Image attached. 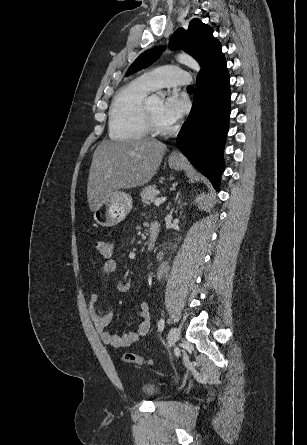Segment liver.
I'll use <instances>...</instances> for the list:
<instances>
[{
	"mask_svg": "<svg viewBox=\"0 0 307 445\" xmlns=\"http://www.w3.org/2000/svg\"><path fill=\"white\" fill-rule=\"evenodd\" d=\"M165 150L166 144L156 138L126 142H112L104 138L94 150L89 170L87 198L90 210H96L115 190L143 186L149 182Z\"/></svg>",
	"mask_w": 307,
	"mask_h": 445,
	"instance_id": "obj_1",
	"label": "liver"
}]
</instances>
